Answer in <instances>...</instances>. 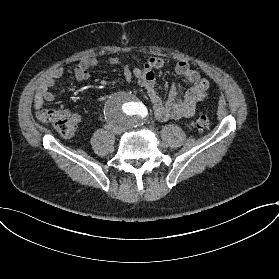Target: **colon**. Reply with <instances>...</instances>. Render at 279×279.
<instances>
[{
  "mask_svg": "<svg viewBox=\"0 0 279 279\" xmlns=\"http://www.w3.org/2000/svg\"><path fill=\"white\" fill-rule=\"evenodd\" d=\"M42 123L54 128L63 137H70L78 129L73 123V118L67 111L46 109L38 113ZM210 127V117L207 114H199L196 119V128L204 132Z\"/></svg>",
  "mask_w": 279,
  "mask_h": 279,
  "instance_id": "1",
  "label": "colon"
}]
</instances>
